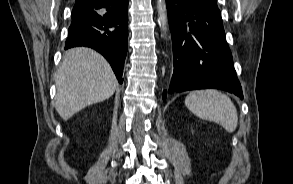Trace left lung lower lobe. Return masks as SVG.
Listing matches in <instances>:
<instances>
[{"label": "left lung lower lobe", "mask_w": 293, "mask_h": 184, "mask_svg": "<svg viewBox=\"0 0 293 184\" xmlns=\"http://www.w3.org/2000/svg\"><path fill=\"white\" fill-rule=\"evenodd\" d=\"M166 6L174 57L169 93L216 88L243 99L216 0H166Z\"/></svg>", "instance_id": "0a47b994"}]
</instances>
